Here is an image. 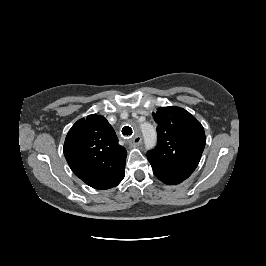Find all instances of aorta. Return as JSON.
<instances>
[{"instance_id":"762f6f07","label":"aorta","mask_w":266,"mask_h":266,"mask_svg":"<svg viewBox=\"0 0 266 266\" xmlns=\"http://www.w3.org/2000/svg\"><path fill=\"white\" fill-rule=\"evenodd\" d=\"M145 146L147 149H151L155 146L157 140V134L155 128L149 123H143L140 126Z\"/></svg>"}]
</instances>
